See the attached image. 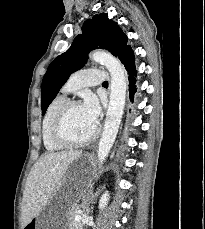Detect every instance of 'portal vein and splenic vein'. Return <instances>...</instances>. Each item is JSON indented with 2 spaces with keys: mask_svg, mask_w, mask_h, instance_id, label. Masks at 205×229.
<instances>
[{
  "mask_svg": "<svg viewBox=\"0 0 205 229\" xmlns=\"http://www.w3.org/2000/svg\"><path fill=\"white\" fill-rule=\"evenodd\" d=\"M80 219H81V217H80V216H78V215H77V216H75V220H76V221H79Z\"/></svg>",
  "mask_w": 205,
  "mask_h": 229,
  "instance_id": "portal-vein-and-splenic-vein-1",
  "label": "portal vein and splenic vein"
}]
</instances>
